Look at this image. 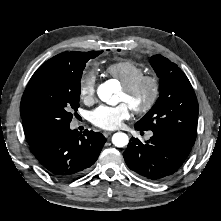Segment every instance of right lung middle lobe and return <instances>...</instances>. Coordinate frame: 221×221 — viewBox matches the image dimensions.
Instances as JSON below:
<instances>
[{"mask_svg": "<svg viewBox=\"0 0 221 221\" xmlns=\"http://www.w3.org/2000/svg\"><path fill=\"white\" fill-rule=\"evenodd\" d=\"M102 51L80 52L72 67L45 69L26 87L21 104L30 119L49 132L69 125L79 107L80 80L86 63Z\"/></svg>", "mask_w": 221, "mask_h": 221, "instance_id": "1", "label": "right lung middle lobe"}]
</instances>
